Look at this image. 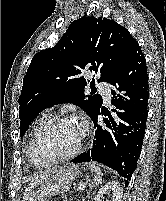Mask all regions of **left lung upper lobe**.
Returning a JSON list of instances; mask_svg holds the SVG:
<instances>
[{"instance_id":"obj_1","label":"left lung upper lobe","mask_w":166,"mask_h":201,"mask_svg":"<svg viewBox=\"0 0 166 201\" xmlns=\"http://www.w3.org/2000/svg\"><path fill=\"white\" fill-rule=\"evenodd\" d=\"M137 43L114 20L82 17L73 21L53 48L33 57L24 76L18 100L20 136L42 110L54 104L72 102L93 118L103 101L100 95H84L85 71L109 83Z\"/></svg>"}]
</instances>
